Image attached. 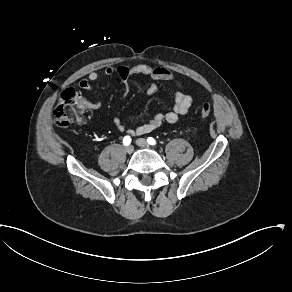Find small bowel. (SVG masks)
Wrapping results in <instances>:
<instances>
[{"label":"small bowel","mask_w":292,"mask_h":292,"mask_svg":"<svg viewBox=\"0 0 292 292\" xmlns=\"http://www.w3.org/2000/svg\"><path fill=\"white\" fill-rule=\"evenodd\" d=\"M104 75L112 76L117 74L125 83V93L128 92V80L135 75H145L150 77L153 81L147 88L146 93L148 95H153L158 90L157 82L166 81L174 84L175 89L173 92L174 104L172 109L166 113H156L148 120L146 123L141 124L133 129L127 131L122 120L119 117L113 119V124L115 128L121 132H128L130 135H143L150 133L163 124H175L178 122L179 118L186 115L193 104V97L186 93L185 85L180 81L173 72L164 67H151L145 64H138L132 67L120 65L116 68L112 66H107L103 70ZM100 74L98 71H90L87 77L82 78L78 82V86L81 90L88 92H95L93 83L99 80ZM79 100H83L91 108H98L100 106V101L87 102L83 97H79Z\"/></svg>","instance_id":"small-bowel-1"}]
</instances>
